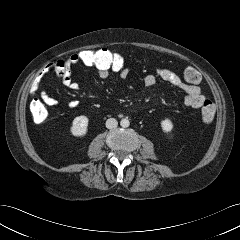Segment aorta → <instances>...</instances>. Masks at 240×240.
<instances>
[{"label": "aorta", "mask_w": 240, "mask_h": 240, "mask_svg": "<svg viewBox=\"0 0 240 240\" xmlns=\"http://www.w3.org/2000/svg\"><path fill=\"white\" fill-rule=\"evenodd\" d=\"M120 125H121V127H123V128H127V127H129L130 122H129V120H128L127 118H123V119H121V121H120Z\"/></svg>", "instance_id": "1"}]
</instances>
